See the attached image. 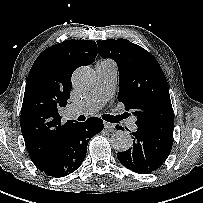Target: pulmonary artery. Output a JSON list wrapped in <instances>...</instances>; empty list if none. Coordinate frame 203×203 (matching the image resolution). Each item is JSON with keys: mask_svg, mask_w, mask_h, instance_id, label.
Returning <instances> with one entry per match:
<instances>
[{"mask_svg": "<svg viewBox=\"0 0 203 203\" xmlns=\"http://www.w3.org/2000/svg\"><path fill=\"white\" fill-rule=\"evenodd\" d=\"M97 83L88 97L78 105H72L69 113L73 116L79 114H91L99 110L107 101H109L116 87L117 70L111 61H100L96 64ZM136 119L128 122L131 131H136Z\"/></svg>", "mask_w": 203, "mask_h": 203, "instance_id": "1", "label": "pulmonary artery"}]
</instances>
